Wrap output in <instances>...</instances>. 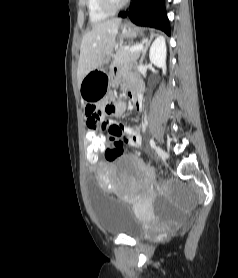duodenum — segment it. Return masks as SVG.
<instances>
[{"instance_id":"obj_1","label":"duodenum","mask_w":238,"mask_h":278,"mask_svg":"<svg viewBox=\"0 0 238 278\" xmlns=\"http://www.w3.org/2000/svg\"><path fill=\"white\" fill-rule=\"evenodd\" d=\"M136 105L138 108H141V101L139 98L136 99Z\"/></svg>"}]
</instances>
